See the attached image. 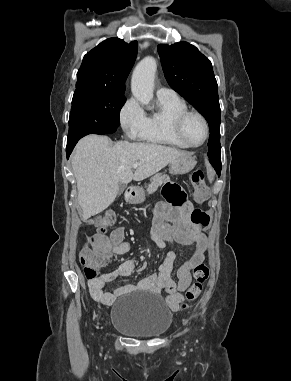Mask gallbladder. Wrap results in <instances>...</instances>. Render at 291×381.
<instances>
[{
    "mask_svg": "<svg viewBox=\"0 0 291 381\" xmlns=\"http://www.w3.org/2000/svg\"><path fill=\"white\" fill-rule=\"evenodd\" d=\"M125 188H126V184L121 183L119 185V191H118L119 195L124 191Z\"/></svg>",
    "mask_w": 291,
    "mask_h": 381,
    "instance_id": "bac80fb5",
    "label": "gallbladder"
}]
</instances>
